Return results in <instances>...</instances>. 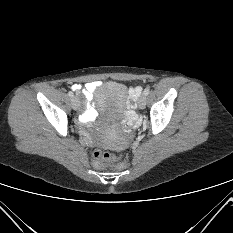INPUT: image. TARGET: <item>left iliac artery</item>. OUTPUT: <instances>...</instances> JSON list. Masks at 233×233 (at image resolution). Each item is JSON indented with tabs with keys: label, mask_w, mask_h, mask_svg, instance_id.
<instances>
[{
	"label": "left iliac artery",
	"mask_w": 233,
	"mask_h": 233,
	"mask_svg": "<svg viewBox=\"0 0 233 233\" xmlns=\"http://www.w3.org/2000/svg\"><path fill=\"white\" fill-rule=\"evenodd\" d=\"M149 92H150V89H149V88H146V89L144 90L143 94L147 96V95L149 94Z\"/></svg>",
	"instance_id": "left-iliac-artery-1"
}]
</instances>
